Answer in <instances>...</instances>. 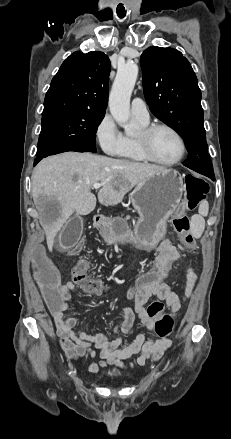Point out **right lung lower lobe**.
<instances>
[{"label":"right lung lower lobe","mask_w":231,"mask_h":439,"mask_svg":"<svg viewBox=\"0 0 231 439\" xmlns=\"http://www.w3.org/2000/svg\"><path fill=\"white\" fill-rule=\"evenodd\" d=\"M44 157H37L34 161V165H36L40 160H42Z\"/></svg>","instance_id":"1"}]
</instances>
